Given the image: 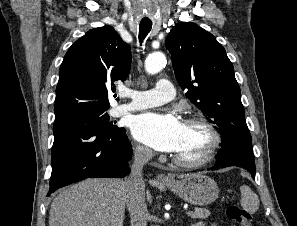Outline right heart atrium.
I'll list each match as a JSON object with an SVG mask.
<instances>
[{"instance_id":"obj_1","label":"right heart atrium","mask_w":297,"mask_h":226,"mask_svg":"<svg viewBox=\"0 0 297 226\" xmlns=\"http://www.w3.org/2000/svg\"><path fill=\"white\" fill-rule=\"evenodd\" d=\"M135 153L140 159H147L151 155V152L147 148L140 145L136 146Z\"/></svg>"}]
</instances>
